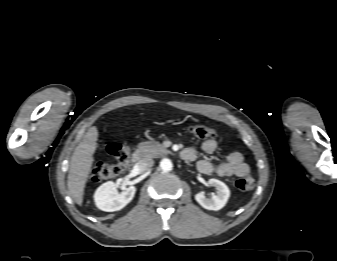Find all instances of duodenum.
Returning a JSON list of instances; mask_svg holds the SVG:
<instances>
[{
  "mask_svg": "<svg viewBox=\"0 0 337 261\" xmlns=\"http://www.w3.org/2000/svg\"><path fill=\"white\" fill-rule=\"evenodd\" d=\"M131 159H132V162H133V163H138V162H140L141 159H142V154H141V152L135 151V152L132 154Z\"/></svg>",
  "mask_w": 337,
  "mask_h": 261,
  "instance_id": "obj_1",
  "label": "duodenum"
}]
</instances>
